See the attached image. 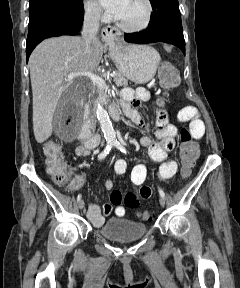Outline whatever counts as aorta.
I'll return each instance as SVG.
<instances>
[{"instance_id": "762f6f07", "label": "aorta", "mask_w": 240, "mask_h": 288, "mask_svg": "<svg viewBox=\"0 0 240 288\" xmlns=\"http://www.w3.org/2000/svg\"><path fill=\"white\" fill-rule=\"evenodd\" d=\"M96 115L106 141H114L116 138L115 131L110 121L108 112L101 104L96 105Z\"/></svg>"}]
</instances>
